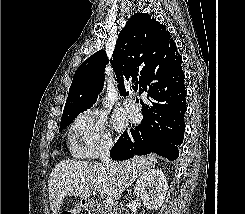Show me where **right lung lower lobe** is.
<instances>
[{"instance_id":"1","label":"right lung lower lobe","mask_w":245,"mask_h":214,"mask_svg":"<svg viewBox=\"0 0 245 214\" xmlns=\"http://www.w3.org/2000/svg\"><path fill=\"white\" fill-rule=\"evenodd\" d=\"M184 77H175L168 67L152 70L143 90L150 97L149 103L142 105L143 120L118 139L110 152L112 159L126 160L151 152L170 160L178 158L177 146L185 132Z\"/></svg>"}]
</instances>
